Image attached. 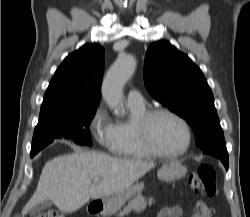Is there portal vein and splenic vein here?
<instances>
[{
    "mask_svg": "<svg viewBox=\"0 0 250 217\" xmlns=\"http://www.w3.org/2000/svg\"><path fill=\"white\" fill-rule=\"evenodd\" d=\"M93 182H94V184H96V183L99 182V179H98V178H94V179H93Z\"/></svg>",
    "mask_w": 250,
    "mask_h": 217,
    "instance_id": "18ae733b",
    "label": "portal vein and splenic vein"
}]
</instances>
